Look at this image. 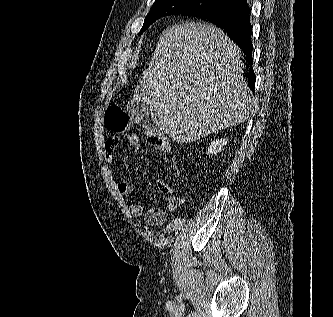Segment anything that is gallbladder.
<instances>
[{"label":"gallbladder","instance_id":"obj_1","mask_svg":"<svg viewBox=\"0 0 333 317\" xmlns=\"http://www.w3.org/2000/svg\"><path fill=\"white\" fill-rule=\"evenodd\" d=\"M127 109L131 115L143 117L150 113L149 105L145 102L131 100L127 104Z\"/></svg>","mask_w":333,"mask_h":317}]
</instances>
